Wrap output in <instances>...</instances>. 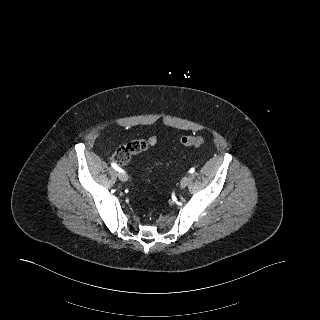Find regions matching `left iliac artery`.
Instances as JSON below:
<instances>
[{
  "instance_id": "1",
  "label": "left iliac artery",
  "mask_w": 320,
  "mask_h": 320,
  "mask_svg": "<svg viewBox=\"0 0 320 320\" xmlns=\"http://www.w3.org/2000/svg\"><path fill=\"white\" fill-rule=\"evenodd\" d=\"M194 171H195L194 168H191V169L189 170L190 173H193Z\"/></svg>"
}]
</instances>
